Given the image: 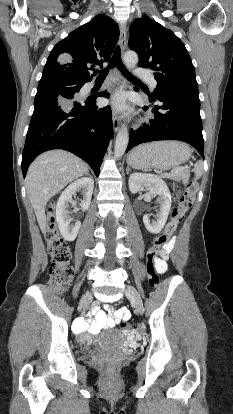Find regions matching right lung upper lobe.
<instances>
[{"instance_id": "obj_1", "label": "right lung upper lobe", "mask_w": 233, "mask_h": 414, "mask_svg": "<svg viewBox=\"0 0 233 414\" xmlns=\"http://www.w3.org/2000/svg\"><path fill=\"white\" fill-rule=\"evenodd\" d=\"M118 37V25L106 15H97L54 46L41 79L91 81L96 72L90 75L89 70L109 61Z\"/></svg>"}]
</instances>
